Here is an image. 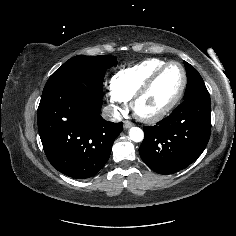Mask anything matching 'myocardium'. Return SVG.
I'll return each mask as SVG.
<instances>
[{
  "label": "myocardium",
  "instance_id": "myocardium-1",
  "mask_svg": "<svg viewBox=\"0 0 236 236\" xmlns=\"http://www.w3.org/2000/svg\"><path fill=\"white\" fill-rule=\"evenodd\" d=\"M172 65L178 66L182 72V83H181L180 89L177 92L176 96L173 98V100L166 107H164L162 110H160L154 114L146 115V114L141 113L137 109V105H138L139 101L151 90L153 85L160 78V76L165 72V70ZM186 85H187V72H186L184 66L177 61L166 62L163 66L158 68L148 78V80L140 87V89L134 94L132 101H131V108H132L134 115L138 119H140L141 121L146 122V123H156V122L162 120L177 106V104L179 103V101L181 100V98L184 94V91L186 89Z\"/></svg>",
  "mask_w": 236,
  "mask_h": 236
}]
</instances>
